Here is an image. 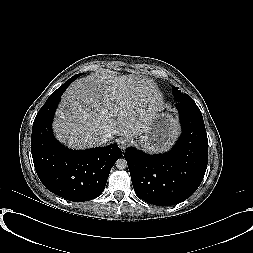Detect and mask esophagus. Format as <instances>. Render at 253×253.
I'll use <instances>...</instances> for the list:
<instances>
[{
    "label": "esophagus",
    "instance_id": "obj_1",
    "mask_svg": "<svg viewBox=\"0 0 253 253\" xmlns=\"http://www.w3.org/2000/svg\"><path fill=\"white\" fill-rule=\"evenodd\" d=\"M129 141L130 140L127 137H120L117 142H118L119 147L124 150L126 146L128 145Z\"/></svg>",
    "mask_w": 253,
    "mask_h": 253
}]
</instances>
